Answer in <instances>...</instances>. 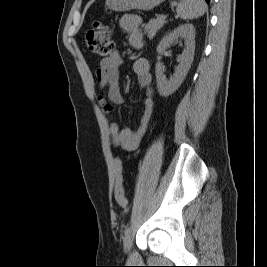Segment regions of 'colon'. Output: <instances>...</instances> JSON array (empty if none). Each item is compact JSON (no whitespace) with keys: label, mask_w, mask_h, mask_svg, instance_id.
Instances as JSON below:
<instances>
[{"label":"colon","mask_w":267,"mask_h":267,"mask_svg":"<svg viewBox=\"0 0 267 267\" xmlns=\"http://www.w3.org/2000/svg\"><path fill=\"white\" fill-rule=\"evenodd\" d=\"M86 44L88 49L94 54L108 58L113 53L114 44L112 41L111 28L102 23L96 22L94 26L87 32ZM114 196L117 203L125 208L127 206V198L123 186V163L120 158L114 159Z\"/></svg>","instance_id":"obj_1"}]
</instances>
